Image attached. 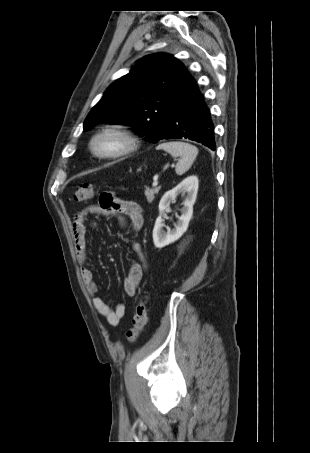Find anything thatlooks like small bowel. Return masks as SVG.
<instances>
[{
  "label": "small bowel",
  "instance_id": "1",
  "mask_svg": "<svg viewBox=\"0 0 310 453\" xmlns=\"http://www.w3.org/2000/svg\"><path fill=\"white\" fill-rule=\"evenodd\" d=\"M94 213L123 215L131 223V227L135 231L139 230L144 224V213L137 203L121 200L116 197L108 209L103 208L99 202V204L91 205L80 210L74 218L72 230L77 257L81 264H84L88 257L86 242L88 227L86 221L89 215ZM123 222H125L124 219ZM131 247L138 255L139 262H133L131 264L129 272L124 279V291L128 296H134L137 293L138 286L146 269V260L140 244L136 240H132ZM81 276L87 292L92 296V303L95 310L105 318L108 325L116 326L125 315V305L119 303L114 308H111L97 295L98 286L90 269L83 267L81 269Z\"/></svg>",
  "mask_w": 310,
  "mask_h": 453
}]
</instances>
